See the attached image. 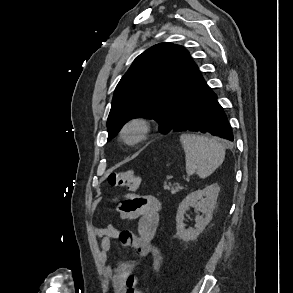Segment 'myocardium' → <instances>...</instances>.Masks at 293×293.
Returning <instances> with one entry per match:
<instances>
[{
	"instance_id": "myocardium-1",
	"label": "myocardium",
	"mask_w": 293,
	"mask_h": 293,
	"mask_svg": "<svg viewBox=\"0 0 293 293\" xmlns=\"http://www.w3.org/2000/svg\"><path fill=\"white\" fill-rule=\"evenodd\" d=\"M131 129H136L138 134L133 140L127 139V132ZM151 131L150 123L144 118H133L127 121L121 129V137L129 145H136L145 141Z\"/></svg>"
}]
</instances>
